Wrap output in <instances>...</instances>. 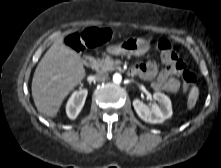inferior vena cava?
Here are the masks:
<instances>
[{
    "label": "inferior vena cava",
    "instance_id": "obj_1",
    "mask_svg": "<svg viewBox=\"0 0 221 168\" xmlns=\"http://www.w3.org/2000/svg\"><path fill=\"white\" fill-rule=\"evenodd\" d=\"M108 78V73L105 71H100L98 73L95 74V79L97 81H104Z\"/></svg>",
    "mask_w": 221,
    "mask_h": 168
}]
</instances>
